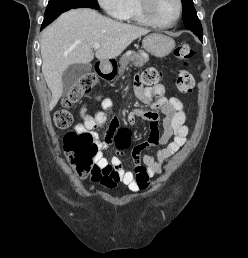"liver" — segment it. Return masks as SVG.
<instances>
[{"label":"liver","mask_w":248,"mask_h":258,"mask_svg":"<svg viewBox=\"0 0 248 258\" xmlns=\"http://www.w3.org/2000/svg\"><path fill=\"white\" fill-rule=\"evenodd\" d=\"M149 30L102 16L90 8L63 13L42 33V73L52 93V110L63 93L62 74L72 64H88L94 55L102 62L119 56ZM99 49L93 52L94 44Z\"/></svg>","instance_id":"6515ba94"}]
</instances>
